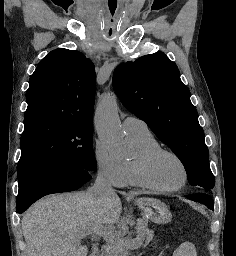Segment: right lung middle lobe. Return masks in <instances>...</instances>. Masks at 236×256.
I'll list each match as a JSON object with an SVG mask.
<instances>
[{"label": "right lung middle lobe", "mask_w": 236, "mask_h": 256, "mask_svg": "<svg viewBox=\"0 0 236 256\" xmlns=\"http://www.w3.org/2000/svg\"><path fill=\"white\" fill-rule=\"evenodd\" d=\"M93 124L37 118L24 121L18 184L29 177L74 167L94 171Z\"/></svg>", "instance_id": "1"}]
</instances>
